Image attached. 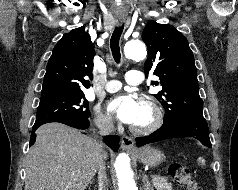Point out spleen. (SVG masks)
<instances>
[{
    "label": "spleen",
    "instance_id": "obj_1",
    "mask_svg": "<svg viewBox=\"0 0 238 190\" xmlns=\"http://www.w3.org/2000/svg\"><path fill=\"white\" fill-rule=\"evenodd\" d=\"M198 162H199L202 166L205 165V160H204L202 157H199V158H198Z\"/></svg>",
    "mask_w": 238,
    "mask_h": 190
}]
</instances>
